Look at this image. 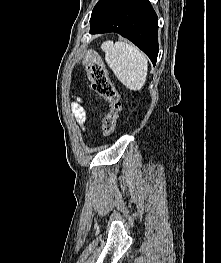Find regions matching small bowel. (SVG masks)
I'll list each match as a JSON object with an SVG mask.
<instances>
[{
	"label": "small bowel",
	"mask_w": 221,
	"mask_h": 263,
	"mask_svg": "<svg viewBox=\"0 0 221 263\" xmlns=\"http://www.w3.org/2000/svg\"><path fill=\"white\" fill-rule=\"evenodd\" d=\"M73 113L75 117L77 118L78 122L83 125L85 122V111L83 107L79 104H75L73 106Z\"/></svg>",
	"instance_id": "small-bowel-1"
}]
</instances>
